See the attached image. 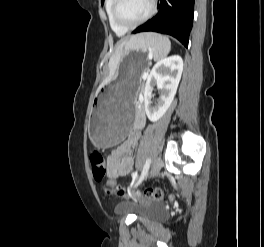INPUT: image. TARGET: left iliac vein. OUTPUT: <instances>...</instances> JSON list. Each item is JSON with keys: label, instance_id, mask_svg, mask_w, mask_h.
Here are the masks:
<instances>
[{"label": "left iliac vein", "instance_id": "4c4485c4", "mask_svg": "<svg viewBox=\"0 0 264 247\" xmlns=\"http://www.w3.org/2000/svg\"><path fill=\"white\" fill-rule=\"evenodd\" d=\"M162 159L160 157H157L151 166V170H150V177H155L161 170L162 168Z\"/></svg>", "mask_w": 264, "mask_h": 247}]
</instances>
